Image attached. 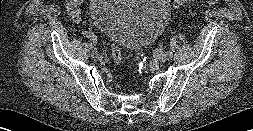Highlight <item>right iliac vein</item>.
I'll list each match as a JSON object with an SVG mask.
<instances>
[{"label":"right iliac vein","mask_w":253,"mask_h":131,"mask_svg":"<svg viewBox=\"0 0 253 131\" xmlns=\"http://www.w3.org/2000/svg\"><path fill=\"white\" fill-rule=\"evenodd\" d=\"M91 55L93 56V57H96V58H99L100 57V54L97 52L96 54H93L92 52H91Z\"/></svg>","instance_id":"1"}]
</instances>
